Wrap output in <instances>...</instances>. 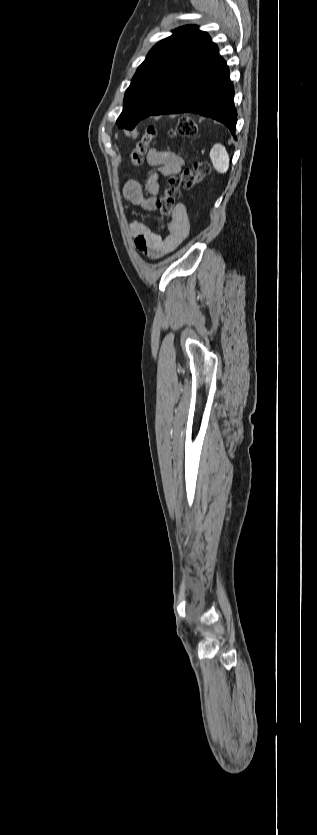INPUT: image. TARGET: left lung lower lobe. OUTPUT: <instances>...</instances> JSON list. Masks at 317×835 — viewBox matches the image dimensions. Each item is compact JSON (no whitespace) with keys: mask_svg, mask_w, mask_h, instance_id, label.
I'll return each instance as SVG.
<instances>
[{"mask_svg":"<svg viewBox=\"0 0 317 835\" xmlns=\"http://www.w3.org/2000/svg\"><path fill=\"white\" fill-rule=\"evenodd\" d=\"M229 68L211 42L187 67L168 98L151 114L195 113L225 124L236 139L237 111Z\"/></svg>","mask_w":317,"mask_h":835,"instance_id":"left-lung-lower-lobe-1","label":"left lung lower lobe"}]
</instances>
